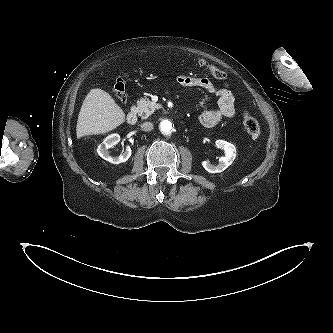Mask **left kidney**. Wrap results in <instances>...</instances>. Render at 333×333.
Returning <instances> with one entry per match:
<instances>
[{"label": "left kidney", "mask_w": 333, "mask_h": 333, "mask_svg": "<svg viewBox=\"0 0 333 333\" xmlns=\"http://www.w3.org/2000/svg\"><path fill=\"white\" fill-rule=\"evenodd\" d=\"M215 144L217 148H221L225 151V157H221L219 159L218 165H213L210 164L208 161H203L202 166L209 173H220L224 171L228 166L232 164L236 157V148L233 144L224 140H217Z\"/></svg>", "instance_id": "left-kidney-1"}]
</instances>
